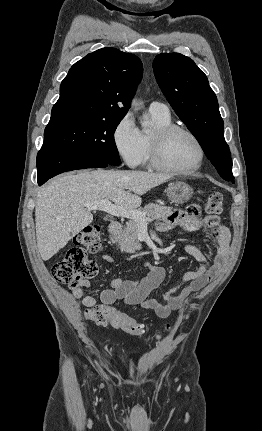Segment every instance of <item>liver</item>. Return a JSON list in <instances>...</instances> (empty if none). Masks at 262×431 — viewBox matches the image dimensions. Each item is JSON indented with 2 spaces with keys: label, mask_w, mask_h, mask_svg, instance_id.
<instances>
[{
  "label": "liver",
  "mask_w": 262,
  "mask_h": 431,
  "mask_svg": "<svg viewBox=\"0 0 262 431\" xmlns=\"http://www.w3.org/2000/svg\"><path fill=\"white\" fill-rule=\"evenodd\" d=\"M170 177L134 170H84L56 177L37 193L36 239L42 259L49 260L93 221L86 203L111 200L135 210L141 195Z\"/></svg>",
  "instance_id": "obj_1"
}]
</instances>
